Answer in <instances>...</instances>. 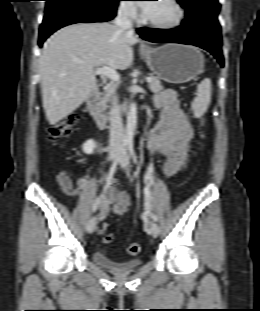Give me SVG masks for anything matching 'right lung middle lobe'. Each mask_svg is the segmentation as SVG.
I'll list each match as a JSON object with an SVG mask.
<instances>
[{"mask_svg": "<svg viewBox=\"0 0 260 311\" xmlns=\"http://www.w3.org/2000/svg\"><path fill=\"white\" fill-rule=\"evenodd\" d=\"M96 1L106 6H114V5H117L118 0H96Z\"/></svg>", "mask_w": 260, "mask_h": 311, "instance_id": "obj_1", "label": "right lung middle lobe"}]
</instances>
